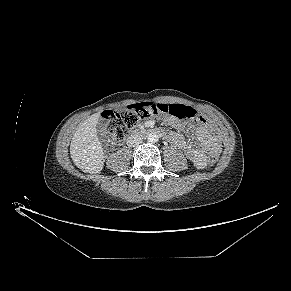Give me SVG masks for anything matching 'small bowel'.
<instances>
[{
    "label": "small bowel",
    "mask_w": 291,
    "mask_h": 291,
    "mask_svg": "<svg viewBox=\"0 0 291 291\" xmlns=\"http://www.w3.org/2000/svg\"><path fill=\"white\" fill-rule=\"evenodd\" d=\"M166 123L176 129H189L196 133L198 137L197 145L191 144L180 133L163 132L165 138L183 149L189 160L198 168H204L207 165L206 152L218 153L221 150L220 139L214 132L212 126L202 117L196 118L194 121H183L179 118L168 116ZM154 121L148 120L147 126H152Z\"/></svg>",
    "instance_id": "1"
}]
</instances>
